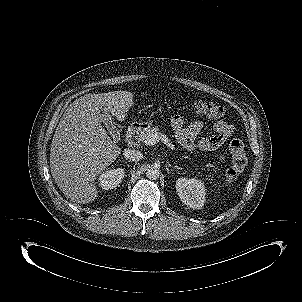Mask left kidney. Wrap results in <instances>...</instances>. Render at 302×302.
I'll use <instances>...</instances> for the list:
<instances>
[{"instance_id": "obj_1", "label": "left kidney", "mask_w": 302, "mask_h": 302, "mask_svg": "<svg viewBox=\"0 0 302 302\" xmlns=\"http://www.w3.org/2000/svg\"><path fill=\"white\" fill-rule=\"evenodd\" d=\"M176 191L180 200L193 209H201L205 203L206 188L202 180L178 178Z\"/></svg>"}]
</instances>
